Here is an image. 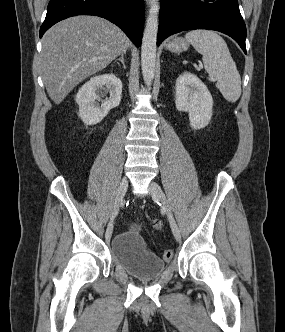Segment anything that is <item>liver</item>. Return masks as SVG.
Wrapping results in <instances>:
<instances>
[{
  "mask_svg": "<svg viewBox=\"0 0 285 332\" xmlns=\"http://www.w3.org/2000/svg\"><path fill=\"white\" fill-rule=\"evenodd\" d=\"M128 48L123 31L100 17L80 15L55 24L42 39L41 66L49 97L60 104L75 86Z\"/></svg>",
  "mask_w": 285,
  "mask_h": 332,
  "instance_id": "obj_1",
  "label": "liver"
}]
</instances>
